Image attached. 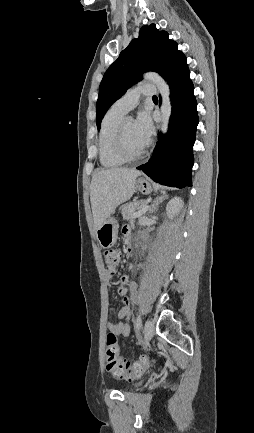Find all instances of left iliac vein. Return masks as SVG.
Listing matches in <instances>:
<instances>
[{
  "label": "left iliac vein",
  "instance_id": "4c4485c4",
  "mask_svg": "<svg viewBox=\"0 0 254 433\" xmlns=\"http://www.w3.org/2000/svg\"><path fill=\"white\" fill-rule=\"evenodd\" d=\"M154 334V323L151 320H147L144 325V343H148Z\"/></svg>",
  "mask_w": 254,
  "mask_h": 433
}]
</instances>
